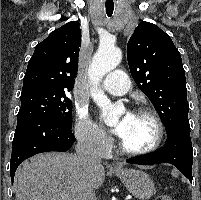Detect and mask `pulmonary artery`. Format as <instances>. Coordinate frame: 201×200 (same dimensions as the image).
Segmentation results:
<instances>
[{
	"label": "pulmonary artery",
	"instance_id": "e3ab8cb5",
	"mask_svg": "<svg viewBox=\"0 0 201 200\" xmlns=\"http://www.w3.org/2000/svg\"><path fill=\"white\" fill-rule=\"evenodd\" d=\"M102 87L113 95H125L131 88L126 74L121 70L110 72L103 80Z\"/></svg>",
	"mask_w": 201,
	"mask_h": 200
}]
</instances>
